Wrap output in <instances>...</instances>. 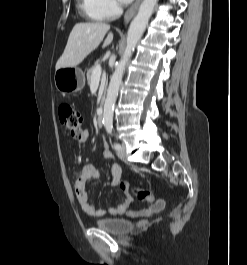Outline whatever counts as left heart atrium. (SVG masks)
Returning a JSON list of instances; mask_svg holds the SVG:
<instances>
[{
	"label": "left heart atrium",
	"mask_w": 247,
	"mask_h": 265,
	"mask_svg": "<svg viewBox=\"0 0 247 265\" xmlns=\"http://www.w3.org/2000/svg\"><path fill=\"white\" fill-rule=\"evenodd\" d=\"M122 2H124V3H128V2H130L131 0H121Z\"/></svg>",
	"instance_id": "1"
}]
</instances>
